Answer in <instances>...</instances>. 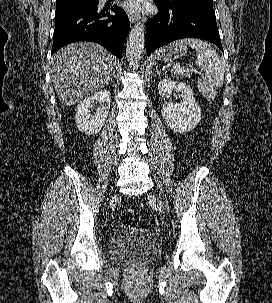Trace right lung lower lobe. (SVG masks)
<instances>
[{
    "mask_svg": "<svg viewBox=\"0 0 272 303\" xmlns=\"http://www.w3.org/2000/svg\"><path fill=\"white\" fill-rule=\"evenodd\" d=\"M107 11L108 9H100L97 4L55 16L51 53L72 42L92 41L104 46L121 60L130 22L124 10L117 6L111 8L115 15H110Z\"/></svg>",
    "mask_w": 272,
    "mask_h": 303,
    "instance_id": "1",
    "label": "right lung lower lobe"
}]
</instances>
